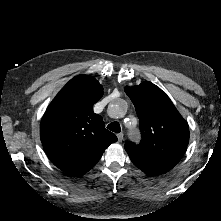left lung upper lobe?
<instances>
[{
	"instance_id": "obj_1",
	"label": "left lung upper lobe",
	"mask_w": 221,
	"mask_h": 221,
	"mask_svg": "<svg viewBox=\"0 0 221 221\" xmlns=\"http://www.w3.org/2000/svg\"><path fill=\"white\" fill-rule=\"evenodd\" d=\"M140 120L142 140L125 149L139 169L149 176L171 170L180 161L189 142V128L169 97L156 85L145 81L125 87Z\"/></svg>"
}]
</instances>
